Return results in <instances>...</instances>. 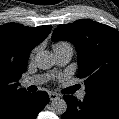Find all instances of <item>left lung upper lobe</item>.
Segmentation results:
<instances>
[{"label":"left lung upper lobe","instance_id":"left-lung-upper-lobe-1","mask_svg":"<svg viewBox=\"0 0 119 119\" xmlns=\"http://www.w3.org/2000/svg\"><path fill=\"white\" fill-rule=\"evenodd\" d=\"M74 44L78 54V77L84 79L86 94L119 101V32L92 21L78 20L59 25L52 41Z\"/></svg>","mask_w":119,"mask_h":119}]
</instances>
